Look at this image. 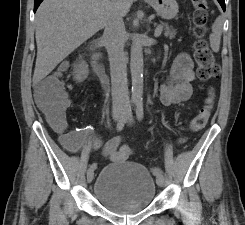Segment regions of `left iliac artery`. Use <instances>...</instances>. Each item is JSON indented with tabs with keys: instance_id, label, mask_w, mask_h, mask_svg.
<instances>
[{
	"instance_id": "1",
	"label": "left iliac artery",
	"mask_w": 245,
	"mask_h": 225,
	"mask_svg": "<svg viewBox=\"0 0 245 225\" xmlns=\"http://www.w3.org/2000/svg\"><path fill=\"white\" fill-rule=\"evenodd\" d=\"M136 116L139 121L144 117V109L142 100L136 101ZM162 170L160 168H155L153 174L158 178L162 175Z\"/></svg>"
}]
</instances>
